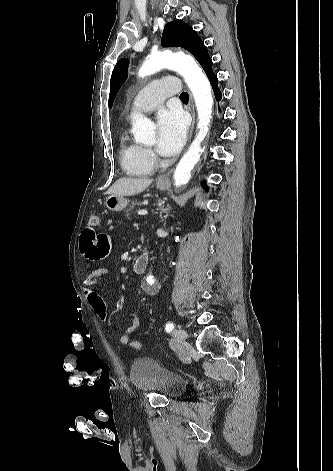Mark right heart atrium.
<instances>
[{"label":"right heart atrium","mask_w":333,"mask_h":471,"mask_svg":"<svg viewBox=\"0 0 333 471\" xmlns=\"http://www.w3.org/2000/svg\"><path fill=\"white\" fill-rule=\"evenodd\" d=\"M147 154H148V157L149 159L154 162L155 161V156L154 154L150 151V150H147Z\"/></svg>","instance_id":"right-heart-atrium-1"}]
</instances>
